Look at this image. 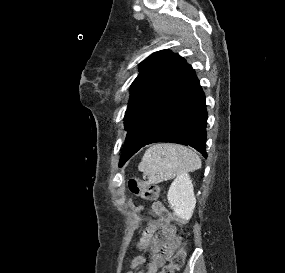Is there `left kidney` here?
Masks as SVG:
<instances>
[{
	"label": "left kidney",
	"mask_w": 285,
	"mask_h": 273,
	"mask_svg": "<svg viewBox=\"0 0 285 273\" xmlns=\"http://www.w3.org/2000/svg\"><path fill=\"white\" fill-rule=\"evenodd\" d=\"M167 198L175 216L183 221L192 217L196 199L189 174L183 173L174 180L169 188Z\"/></svg>",
	"instance_id": "left-kidney-1"
}]
</instances>
